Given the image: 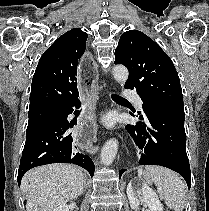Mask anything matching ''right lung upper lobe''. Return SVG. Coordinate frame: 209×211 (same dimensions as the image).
<instances>
[{"label": "right lung upper lobe", "mask_w": 209, "mask_h": 211, "mask_svg": "<svg viewBox=\"0 0 209 211\" xmlns=\"http://www.w3.org/2000/svg\"><path fill=\"white\" fill-rule=\"evenodd\" d=\"M87 33L72 29L59 37L41 56L32 79L29 112L60 108L78 100L77 69L83 60ZM84 68L86 81L90 78Z\"/></svg>", "instance_id": "1"}]
</instances>
